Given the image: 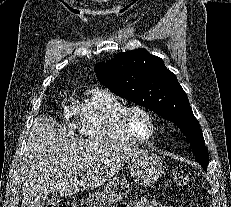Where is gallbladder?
I'll return each mask as SVG.
<instances>
[{
  "instance_id": "bac80fb5",
  "label": "gallbladder",
  "mask_w": 231,
  "mask_h": 207,
  "mask_svg": "<svg viewBox=\"0 0 231 207\" xmlns=\"http://www.w3.org/2000/svg\"><path fill=\"white\" fill-rule=\"evenodd\" d=\"M60 196L57 193H52L47 196L46 198V207H48L51 204H56L59 202Z\"/></svg>"
}]
</instances>
